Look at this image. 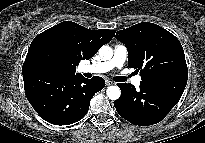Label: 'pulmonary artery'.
<instances>
[{
	"label": "pulmonary artery",
	"mask_w": 205,
	"mask_h": 143,
	"mask_svg": "<svg viewBox=\"0 0 205 143\" xmlns=\"http://www.w3.org/2000/svg\"><path fill=\"white\" fill-rule=\"evenodd\" d=\"M127 58V48L122 44L114 46L113 56L111 59L95 64L82 65L80 71L83 73L102 74L109 72L114 68H122ZM131 82L138 86L141 83V76H135Z\"/></svg>",
	"instance_id": "1"
}]
</instances>
